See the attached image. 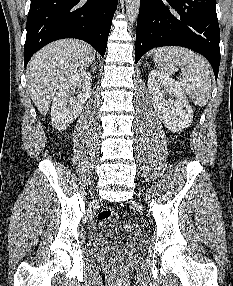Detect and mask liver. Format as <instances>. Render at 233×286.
<instances>
[{
    "label": "liver",
    "instance_id": "1",
    "mask_svg": "<svg viewBox=\"0 0 233 286\" xmlns=\"http://www.w3.org/2000/svg\"><path fill=\"white\" fill-rule=\"evenodd\" d=\"M95 60V51L77 39H62L38 51L27 67L28 89L42 115H46L59 87Z\"/></svg>",
    "mask_w": 233,
    "mask_h": 286
}]
</instances>
